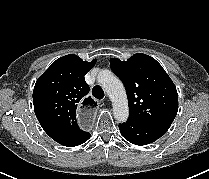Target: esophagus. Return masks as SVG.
I'll return each mask as SVG.
<instances>
[{
    "mask_svg": "<svg viewBox=\"0 0 209 179\" xmlns=\"http://www.w3.org/2000/svg\"><path fill=\"white\" fill-rule=\"evenodd\" d=\"M97 100L94 96H85L75 112L76 123L81 128L89 127L96 116Z\"/></svg>",
    "mask_w": 209,
    "mask_h": 179,
    "instance_id": "1",
    "label": "esophagus"
}]
</instances>
